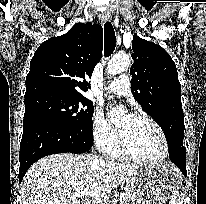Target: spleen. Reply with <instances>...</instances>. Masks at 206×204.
<instances>
[{
  "mask_svg": "<svg viewBox=\"0 0 206 204\" xmlns=\"http://www.w3.org/2000/svg\"><path fill=\"white\" fill-rule=\"evenodd\" d=\"M182 203H183L182 193H179V191L174 192L170 197L169 204H182Z\"/></svg>",
  "mask_w": 206,
  "mask_h": 204,
  "instance_id": "spleen-1",
  "label": "spleen"
}]
</instances>
